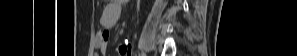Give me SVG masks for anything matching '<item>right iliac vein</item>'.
<instances>
[{"instance_id":"63e3f726","label":"right iliac vein","mask_w":297,"mask_h":56,"mask_svg":"<svg viewBox=\"0 0 297 56\" xmlns=\"http://www.w3.org/2000/svg\"><path fill=\"white\" fill-rule=\"evenodd\" d=\"M142 56H146L144 53H142Z\"/></svg>"}]
</instances>
